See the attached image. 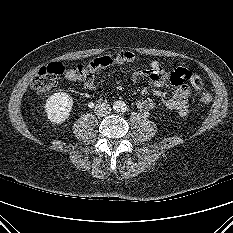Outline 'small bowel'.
<instances>
[{"label":"small bowel","mask_w":233,"mask_h":233,"mask_svg":"<svg viewBox=\"0 0 233 233\" xmlns=\"http://www.w3.org/2000/svg\"><path fill=\"white\" fill-rule=\"evenodd\" d=\"M101 63L96 71L101 67H106L116 64H133L139 61V58L131 51H122L119 53L107 54L99 57ZM190 72L185 68H177L174 71H168L162 67L158 61H152L147 69L136 72L132 75V81L138 82L141 79H146L149 83L155 86H163L169 82L173 88V94L166 101V106L185 114L188 109L190 88L186 84V74ZM84 87L87 90L95 89V81L93 75L84 80ZM137 108L142 112H147L154 107L152 99L143 97L136 103Z\"/></svg>","instance_id":"c3829d8e"}]
</instances>
